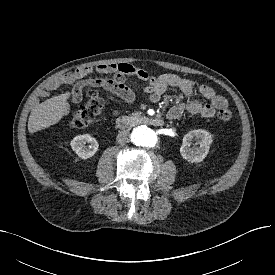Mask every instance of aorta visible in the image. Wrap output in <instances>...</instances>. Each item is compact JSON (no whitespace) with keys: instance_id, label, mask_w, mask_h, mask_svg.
<instances>
[{"instance_id":"1","label":"aorta","mask_w":275,"mask_h":275,"mask_svg":"<svg viewBox=\"0 0 275 275\" xmlns=\"http://www.w3.org/2000/svg\"><path fill=\"white\" fill-rule=\"evenodd\" d=\"M132 141L136 146L152 148L157 143L156 133L146 127V126H138L136 127L131 134Z\"/></svg>"}]
</instances>
